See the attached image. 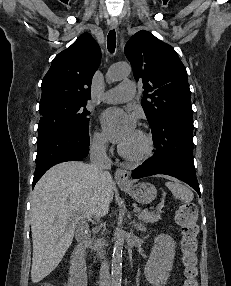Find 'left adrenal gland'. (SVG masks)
<instances>
[{"label":"left adrenal gland","instance_id":"obj_1","mask_svg":"<svg viewBox=\"0 0 231 286\" xmlns=\"http://www.w3.org/2000/svg\"><path fill=\"white\" fill-rule=\"evenodd\" d=\"M133 226L137 231H141V232L146 231L145 226L141 223L137 224L135 220L133 221Z\"/></svg>","mask_w":231,"mask_h":286}]
</instances>
